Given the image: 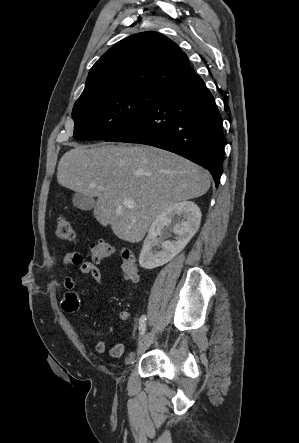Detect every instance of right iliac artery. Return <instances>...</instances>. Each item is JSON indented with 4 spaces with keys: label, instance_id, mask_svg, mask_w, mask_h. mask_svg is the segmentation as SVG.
Here are the masks:
<instances>
[{
    "label": "right iliac artery",
    "instance_id": "1",
    "mask_svg": "<svg viewBox=\"0 0 299 443\" xmlns=\"http://www.w3.org/2000/svg\"><path fill=\"white\" fill-rule=\"evenodd\" d=\"M139 330H140V335H144L145 331H146V316L142 315L140 317L139 320Z\"/></svg>",
    "mask_w": 299,
    "mask_h": 443
}]
</instances>
